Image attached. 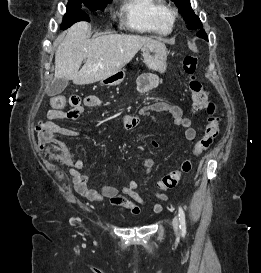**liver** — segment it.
I'll use <instances>...</instances> for the list:
<instances>
[{"label":"liver","mask_w":261,"mask_h":273,"mask_svg":"<svg viewBox=\"0 0 261 273\" xmlns=\"http://www.w3.org/2000/svg\"><path fill=\"white\" fill-rule=\"evenodd\" d=\"M89 31L88 23L78 22L58 43L55 78L72 80L76 85L102 81L129 63L144 44L153 41L149 37L124 34L90 39ZM83 60L86 62L80 69Z\"/></svg>","instance_id":"liver-1"}]
</instances>
